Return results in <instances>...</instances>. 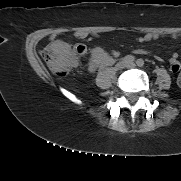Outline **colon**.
Masks as SVG:
<instances>
[{
    "label": "colon",
    "instance_id": "5ec220e1",
    "mask_svg": "<svg viewBox=\"0 0 181 181\" xmlns=\"http://www.w3.org/2000/svg\"><path fill=\"white\" fill-rule=\"evenodd\" d=\"M85 51L86 48L83 45H76L72 49L70 47L59 48L51 45L45 48L41 55L55 75L66 77L76 65L77 56L84 54ZM177 84L181 88V72L178 74Z\"/></svg>",
    "mask_w": 181,
    "mask_h": 181
}]
</instances>
